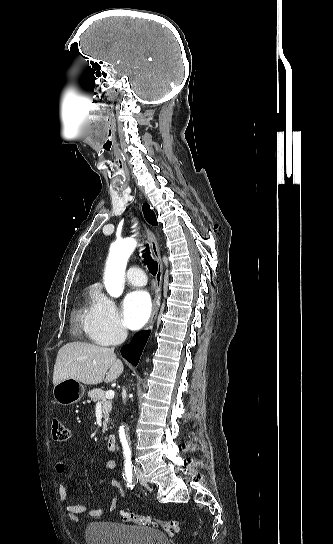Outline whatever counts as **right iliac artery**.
Returning <instances> with one entry per match:
<instances>
[{
  "instance_id": "82829eb1",
  "label": "right iliac artery",
  "mask_w": 333,
  "mask_h": 544,
  "mask_svg": "<svg viewBox=\"0 0 333 544\" xmlns=\"http://www.w3.org/2000/svg\"><path fill=\"white\" fill-rule=\"evenodd\" d=\"M125 474H126L127 486L130 489H133V487H134V485H133V466L131 464H126L125 465Z\"/></svg>"
}]
</instances>
